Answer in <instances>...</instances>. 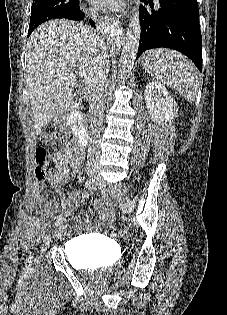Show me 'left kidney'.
<instances>
[{
  "mask_svg": "<svg viewBox=\"0 0 227 315\" xmlns=\"http://www.w3.org/2000/svg\"><path fill=\"white\" fill-rule=\"evenodd\" d=\"M144 99L153 121H170L177 116L178 109L175 100L160 83L149 82L144 92Z\"/></svg>",
  "mask_w": 227,
  "mask_h": 315,
  "instance_id": "left-kidney-1",
  "label": "left kidney"
}]
</instances>
